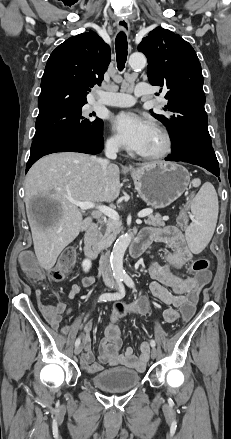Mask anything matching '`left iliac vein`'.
I'll return each instance as SVG.
<instances>
[{"label":"left iliac vein","instance_id":"obj_1","mask_svg":"<svg viewBox=\"0 0 231 439\" xmlns=\"http://www.w3.org/2000/svg\"><path fill=\"white\" fill-rule=\"evenodd\" d=\"M157 354H158L157 350L155 348H152V350H151V358L155 359L157 357Z\"/></svg>","mask_w":231,"mask_h":439}]
</instances>
